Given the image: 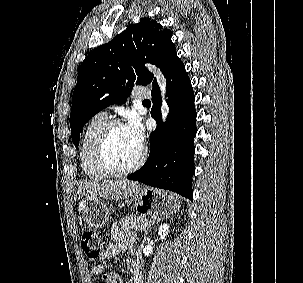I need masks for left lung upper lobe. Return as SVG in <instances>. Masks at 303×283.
Masks as SVG:
<instances>
[{
    "instance_id": "obj_1",
    "label": "left lung upper lobe",
    "mask_w": 303,
    "mask_h": 283,
    "mask_svg": "<svg viewBox=\"0 0 303 283\" xmlns=\"http://www.w3.org/2000/svg\"><path fill=\"white\" fill-rule=\"evenodd\" d=\"M171 31L156 20L141 18L109 43L94 49L82 62L72 96L71 137L79 145L83 126L111 104L124 103L134 85L156 82L144 66L150 62L164 73L177 57Z\"/></svg>"
}]
</instances>
